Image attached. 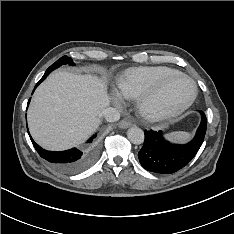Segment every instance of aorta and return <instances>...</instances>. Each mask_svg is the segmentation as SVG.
I'll list each match as a JSON object with an SVG mask.
<instances>
[{"instance_id":"aorta-1","label":"aorta","mask_w":234,"mask_h":234,"mask_svg":"<svg viewBox=\"0 0 234 234\" xmlns=\"http://www.w3.org/2000/svg\"><path fill=\"white\" fill-rule=\"evenodd\" d=\"M127 137L133 144L139 145L144 142V132L139 127H131L127 131Z\"/></svg>"}]
</instances>
